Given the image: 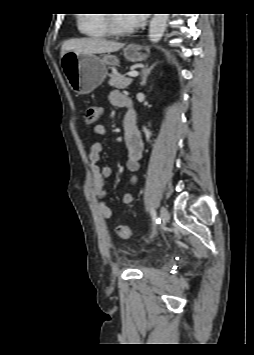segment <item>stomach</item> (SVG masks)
I'll use <instances>...</instances> for the list:
<instances>
[{
	"mask_svg": "<svg viewBox=\"0 0 254 355\" xmlns=\"http://www.w3.org/2000/svg\"><path fill=\"white\" fill-rule=\"evenodd\" d=\"M124 56L132 62L143 61L146 58L135 44L124 48ZM61 63L71 89L78 94H89L104 81L107 67L117 66L119 61L109 54L99 57L95 54L68 51L61 57Z\"/></svg>",
	"mask_w": 254,
	"mask_h": 355,
	"instance_id": "stomach-1",
	"label": "stomach"
}]
</instances>
